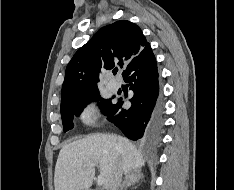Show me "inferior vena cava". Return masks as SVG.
Returning a JSON list of instances; mask_svg holds the SVG:
<instances>
[{
	"label": "inferior vena cava",
	"instance_id": "obj_1",
	"mask_svg": "<svg viewBox=\"0 0 234 190\" xmlns=\"http://www.w3.org/2000/svg\"><path fill=\"white\" fill-rule=\"evenodd\" d=\"M122 174H123L122 166L119 163L115 167L113 175H112L110 182L107 186V190H119V186H120V183L122 181Z\"/></svg>",
	"mask_w": 234,
	"mask_h": 190
}]
</instances>
